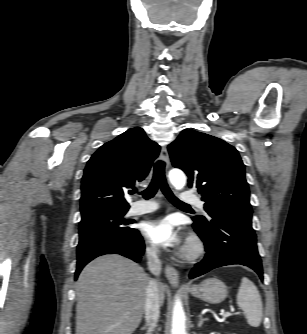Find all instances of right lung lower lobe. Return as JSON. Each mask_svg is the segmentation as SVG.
<instances>
[{"label": "right lung lower lobe", "mask_w": 307, "mask_h": 334, "mask_svg": "<svg viewBox=\"0 0 307 334\" xmlns=\"http://www.w3.org/2000/svg\"><path fill=\"white\" fill-rule=\"evenodd\" d=\"M145 250L144 241L138 232L135 237L123 244L103 245L84 253L77 260L75 279H77L82 268L94 258L105 254H120L127 258L139 262Z\"/></svg>", "instance_id": "right-lung-lower-lobe-1"}]
</instances>
